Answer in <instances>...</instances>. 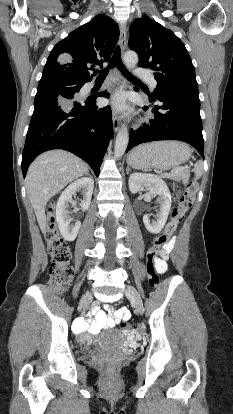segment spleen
Masks as SVG:
<instances>
[{"mask_svg":"<svg viewBox=\"0 0 233 414\" xmlns=\"http://www.w3.org/2000/svg\"><path fill=\"white\" fill-rule=\"evenodd\" d=\"M194 173H195L197 178L202 175V173H203V163L201 161H198L195 164Z\"/></svg>","mask_w":233,"mask_h":414,"instance_id":"1","label":"spleen"}]
</instances>
